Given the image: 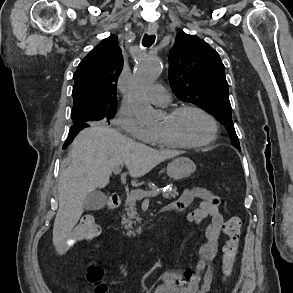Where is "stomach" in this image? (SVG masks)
<instances>
[{
	"label": "stomach",
	"mask_w": 293,
	"mask_h": 293,
	"mask_svg": "<svg viewBox=\"0 0 293 293\" xmlns=\"http://www.w3.org/2000/svg\"><path fill=\"white\" fill-rule=\"evenodd\" d=\"M196 170L195 163L187 157H179L174 159L167 166V175L172 180H183L188 178Z\"/></svg>",
	"instance_id": "stomach-1"
}]
</instances>
